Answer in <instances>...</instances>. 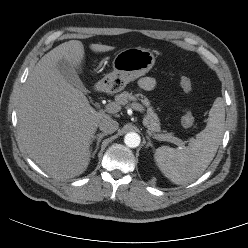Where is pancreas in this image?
<instances>
[{
    "instance_id": "pancreas-1",
    "label": "pancreas",
    "mask_w": 248,
    "mask_h": 248,
    "mask_svg": "<svg viewBox=\"0 0 248 248\" xmlns=\"http://www.w3.org/2000/svg\"><path fill=\"white\" fill-rule=\"evenodd\" d=\"M139 96H141L142 104L147 107L146 115L144 117V125L148 128V133L155 139L163 140V141H171L173 138L172 133H161L160 122L157 114L154 112L153 107L151 106L150 101L143 95L129 93L124 91L115 96V101L118 105H126L130 101L139 100Z\"/></svg>"
}]
</instances>
